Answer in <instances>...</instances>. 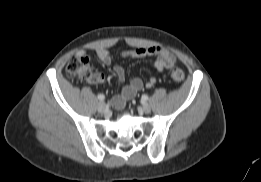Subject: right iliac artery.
I'll use <instances>...</instances> for the list:
<instances>
[{"label":"right iliac artery","mask_w":261,"mask_h":182,"mask_svg":"<svg viewBox=\"0 0 261 182\" xmlns=\"http://www.w3.org/2000/svg\"><path fill=\"white\" fill-rule=\"evenodd\" d=\"M98 99L100 100V101H104L105 100V96L103 95V94H98Z\"/></svg>","instance_id":"right-iliac-artery-1"}]
</instances>
